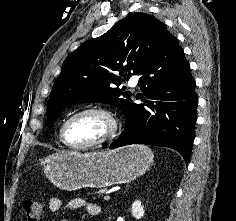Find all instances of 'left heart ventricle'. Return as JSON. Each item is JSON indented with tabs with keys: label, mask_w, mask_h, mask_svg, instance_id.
I'll use <instances>...</instances> for the list:
<instances>
[{
	"label": "left heart ventricle",
	"mask_w": 236,
	"mask_h": 221,
	"mask_svg": "<svg viewBox=\"0 0 236 221\" xmlns=\"http://www.w3.org/2000/svg\"><path fill=\"white\" fill-rule=\"evenodd\" d=\"M110 122L102 114L88 113L73 119L66 128V138L74 145H85L105 137Z\"/></svg>",
	"instance_id": "b2bd125f"
}]
</instances>
